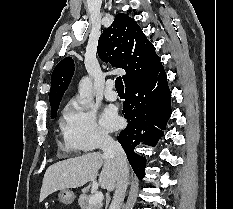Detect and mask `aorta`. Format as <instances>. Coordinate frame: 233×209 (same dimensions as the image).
<instances>
[{
	"label": "aorta",
	"mask_w": 233,
	"mask_h": 209,
	"mask_svg": "<svg viewBox=\"0 0 233 209\" xmlns=\"http://www.w3.org/2000/svg\"><path fill=\"white\" fill-rule=\"evenodd\" d=\"M78 91L82 104H86L93 99L92 81L89 77H83L81 79Z\"/></svg>",
	"instance_id": "762f6f07"
}]
</instances>
